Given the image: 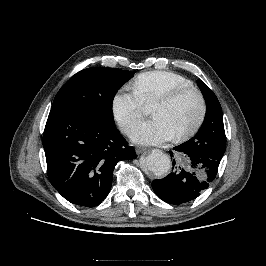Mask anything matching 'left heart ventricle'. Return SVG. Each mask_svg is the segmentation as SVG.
Masks as SVG:
<instances>
[{
    "label": "left heart ventricle",
    "mask_w": 266,
    "mask_h": 266,
    "mask_svg": "<svg viewBox=\"0 0 266 266\" xmlns=\"http://www.w3.org/2000/svg\"><path fill=\"white\" fill-rule=\"evenodd\" d=\"M151 115L163 119L173 130L175 136L188 130L199 114V101L195 94L189 93L170 105L151 107Z\"/></svg>",
    "instance_id": "1"
}]
</instances>
